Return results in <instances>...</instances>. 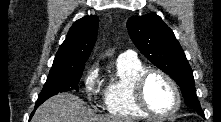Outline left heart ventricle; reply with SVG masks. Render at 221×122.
<instances>
[{
  "mask_svg": "<svg viewBox=\"0 0 221 122\" xmlns=\"http://www.w3.org/2000/svg\"><path fill=\"white\" fill-rule=\"evenodd\" d=\"M145 96L149 106L158 113H167L174 108L175 95L169 83L159 75L147 81Z\"/></svg>",
  "mask_w": 221,
  "mask_h": 122,
  "instance_id": "left-heart-ventricle-1",
  "label": "left heart ventricle"
}]
</instances>
